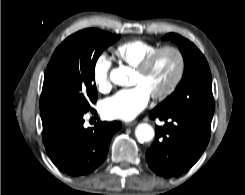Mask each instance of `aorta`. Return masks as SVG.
Masks as SVG:
<instances>
[{
	"label": "aorta",
	"instance_id": "obj_1",
	"mask_svg": "<svg viewBox=\"0 0 245 195\" xmlns=\"http://www.w3.org/2000/svg\"><path fill=\"white\" fill-rule=\"evenodd\" d=\"M110 80L120 86L128 85V70L125 67L115 68L110 72ZM136 138L139 142H149L154 137V129L151 125L141 123L135 130Z\"/></svg>",
	"mask_w": 245,
	"mask_h": 195
}]
</instances>
